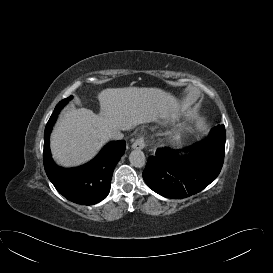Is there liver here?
<instances>
[{"instance_id":"obj_1","label":"liver","mask_w":273,"mask_h":273,"mask_svg":"<svg viewBox=\"0 0 273 273\" xmlns=\"http://www.w3.org/2000/svg\"><path fill=\"white\" fill-rule=\"evenodd\" d=\"M98 99L99 114L70 108L60 116L51 135V151L59 164L84 163L109 140V131L132 129L178 107L172 95L158 88H107Z\"/></svg>"}]
</instances>
